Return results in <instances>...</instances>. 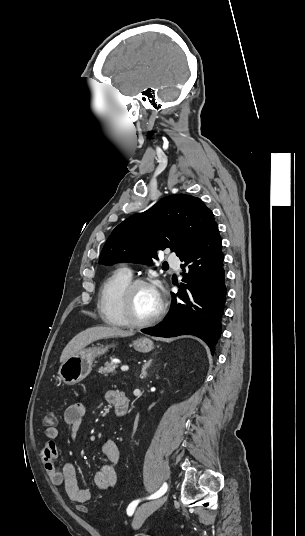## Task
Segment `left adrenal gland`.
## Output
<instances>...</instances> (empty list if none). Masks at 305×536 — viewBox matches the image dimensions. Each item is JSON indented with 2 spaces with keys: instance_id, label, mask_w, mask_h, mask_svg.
Returning <instances> with one entry per match:
<instances>
[{
  "instance_id": "obj_1",
  "label": "left adrenal gland",
  "mask_w": 305,
  "mask_h": 536,
  "mask_svg": "<svg viewBox=\"0 0 305 536\" xmlns=\"http://www.w3.org/2000/svg\"><path fill=\"white\" fill-rule=\"evenodd\" d=\"M148 364H150V362H148ZM146 368H149V366H144V368H142L141 378H146L147 376Z\"/></svg>"
}]
</instances>
